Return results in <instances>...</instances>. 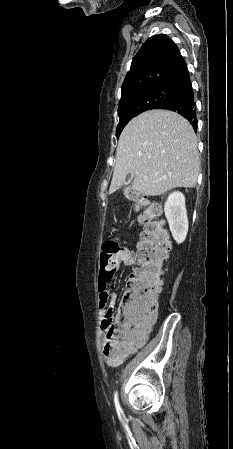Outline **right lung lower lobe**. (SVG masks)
Listing matches in <instances>:
<instances>
[{
	"mask_svg": "<svg viewBox=\"0 0 233 449\" xmlns=\"http://www.w3.org/2000/svg\"><path fill=\"white\" fill-rule=\"evenodd\" d=\"M181 96L177 99L164 103L157 109H167L179 113L185 117L197 130L196 106L194 103V95L191 82L183 85L181 88Z\"/></svg>",
	"mask_w": 233,
	"mask_h": 449,
	"instance_id": "right-lung-lower-lobe-1",
	"label": "right lung lower lobe"
}]
</instances>
